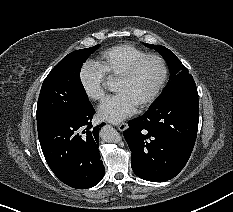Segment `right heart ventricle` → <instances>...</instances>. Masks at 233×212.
I'll list each match as a JSON object with an SVG mask.
<instances>
[{"mask_svg": "<svg viewBox=\"0 0 233 212\" xmlns=\"http://www.w3.org/2000/svg\"><path fill=\"white\" fill-rule=\"evenodd\" d=\"M147 52L129 44L111 47L101 53L96 64L109 78L119 77L129 65Z\"/></svg>", "mask_w": 233, "mask_h": 212, "instance_id": "1", "label": "right heart ventricle"}]
</instances>
